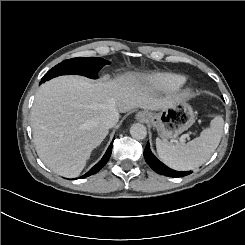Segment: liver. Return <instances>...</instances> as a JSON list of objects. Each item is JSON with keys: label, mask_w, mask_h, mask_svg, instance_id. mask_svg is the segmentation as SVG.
<instances>
[{"label": "liver", "mask_w": 245, "mask_h": 245, "mask_svg": "<svg viewBox=\"0 0 245 245\" xmlns=\"http://www.w3.org/2000/svg\"><path fill=\"white\" fill-rule=\"evenodd\" d=\"M143 70L128 69L107 79L60 75L43 83L31 108L33 141L45 165L56 174L74 178L108 129L100 115L114 110L118 117L133 109L158 110L172 97L154 93Z\"/></svg>", "instance_id": "1"}]
</instances>
